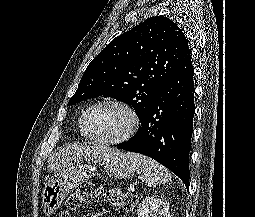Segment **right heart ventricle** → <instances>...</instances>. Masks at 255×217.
<instances>
[{
    "label": "right heart ventricle",
    "instance_id": "1",
    "mask_svg": "<svg viewBox=\"0 0 255 217\" xmlns=\"http://www.w3.org/2000/svg\"><path fill=\"white\" fill-rule=\"evenodd\" d=\"M78 127H79V131L81 136L87 138L88 136L86 135V133L83 131L82 126H81V118L78 120Z\"/></svg>",
    "mask_w": 255,
    "mask_h": 217
}]
</instances>
